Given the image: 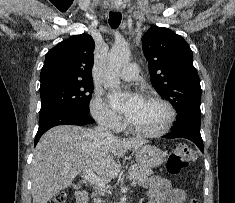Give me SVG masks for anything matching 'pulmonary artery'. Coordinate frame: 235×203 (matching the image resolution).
<instances>
[{
	"label": "pulmonary artery",
	"instance_id": "e3ab8cb5",
	"mask_svg": "<svg viewBox=\"0 0 235 203\" xmlns=\"http://www.w3.org/2000/svg\"><path fill=\"white\" fill-rule=\"evenodd\" d=\"M119 77L125 81H132L138 77V65L130 63L126 65L120 72Z\"/></svg>",
	"mask_w": 235,
	"mask_h": 203
}]
</instances>
